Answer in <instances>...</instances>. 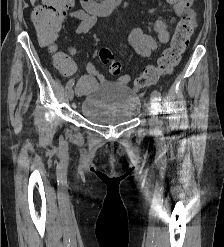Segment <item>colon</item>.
I'll list each match as a JSON object with an SVG mask.
<instances>
[{"label": "colon", "instance_id": "obj_1", "mask_svg": "<svg viewBox=\"0 0 224 247\" xmlns=\"http://www.w3.org/2000/svg\"><path fill=\"white\" fill-rule=\"evenodd\" d=\"M73 0H44L43 5L37 6L32 13V21L38 36L48 45L56 41L60 31L63 18L66 12L72 7ZM194 30V21L191 16H183L177 24L171 43L166 48L157 65L147 67L143 73L137 77L136 86L143 87L151 84L164 73L170 72L180 61L182 54L187 49ZM99 59L102 63L109 65V72L118 76L121 74L120 62L114 60L110 48L103 47L99 51ZM59 66L66 76H74L77 72V65L66 59L59 61ZM79 91L84 93L92 90L97 85L91 76H80L78 78Z\"/></svg>", "mask_w": 224, "mask_h": 247}]
</instances>
